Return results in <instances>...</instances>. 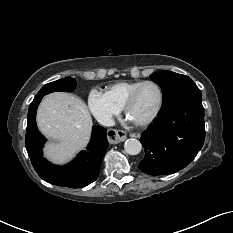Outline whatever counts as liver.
I'll return each instance as SVG.
<instances>
[{
	"label": "liver",
	"mask_w": 233,
	"mask_h": 233,
	"mask_svg": "<svg viewBox=\"0 0 233 233\" xmlns=\"http://www.w3.org/2000/svg\"><path fill=\"white\" fill-rule=\"evenodd\" d=\"M39 130L54 140L44 148L45 156L56 164L68 162L88 144L92 118L87 105L64 92L44 97L37 111Z\"/></svg>",
	"instance_id": "1"
}]
</instances>
